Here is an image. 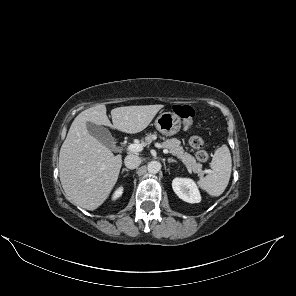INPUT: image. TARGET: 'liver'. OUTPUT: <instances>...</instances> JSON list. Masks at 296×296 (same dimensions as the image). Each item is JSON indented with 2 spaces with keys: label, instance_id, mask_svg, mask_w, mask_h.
<instances>
[{
  "label": "liver",
  "instance_id": "obj_1",
  "mask_svg": "<svg viewBox=\"0 0 296 296\" xmlns=\"http://www.w3.org/2000/svg\"><path fill=\"white\" fill-rule=\"evenodd\" d=\"M163 105L118 107L111 110L112 123L106 106L98 104L82 111L73 121L59 154V174L65 197L87 210L97 209L115 186L122 166V156L93 137L87 123L105 125L121 132L143 131Z\"/></svg>",
  "mask_w": 296,
  "mask_h": 296
}]
</instances>
